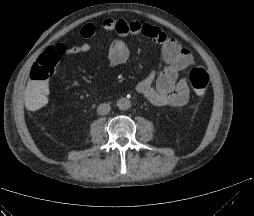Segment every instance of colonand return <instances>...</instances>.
<instances>
[{
	"mask_svg": "<svg viewBox=\"0 0 254 216\" xmlns=\"http://www.w3.org/2000/svg\"><path fill=\"white\" fill-rule=\"evenodd\" d=\"M62 51V46L56 50L48 48L33 64L22 90L23 106L28 112L39 113L48 104L47 80L54 75ZM189 81L195 93L203 95L209 83V74L203 66L193 65L189 71Z\"/></svg>",
	"mask_w": 254,
	"mask_h": 216,
	"instance_id": "colon-1",
	"label": "colon"
}]
</instances>
